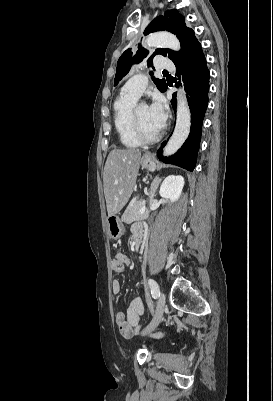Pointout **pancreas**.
Returning a JSON list of instances; mask_svg holds the SVG:
<instances>
[{"mask_svg": "<svg viewBox=\"0 0 273 401\" xmlns=\"http://www.w3.org/2000/svg\"><path fill=\"white\" fill-rule=\"evenodd\" d=\"M142 201H135V203H130L128 205L125 213H123L121 217V221L123 223H127V225H130V223H134V221H144V219H148L149 217V209H145V212L140 213V206H141ZM151 205V203H149Z\"/></svg>", "mask_w": 273, "mask_h": 401, "instance_id": "pancreas-1", "label": "pancreas"}]
</instances>
